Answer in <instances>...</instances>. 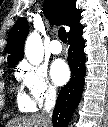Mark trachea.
Masks as SVG:
<instances>
[{
    "mask_svg": "<svg viewBox=\"0 0 108 127\" xmlns=\"http://www.w3.org/2000/svg\"><path fill=\"white\" fill-rule=\"evenodd\" d=\"M58 37L59 39L63 42V43H67V34H66V30L64 29V27H61L58 30Z\"/></svg>",
    "mask_w": 108,
    "mask_h": 127,
    "instance_id": "1",
    "label": "trachea"
}]
</instances>
